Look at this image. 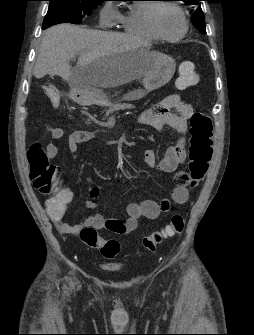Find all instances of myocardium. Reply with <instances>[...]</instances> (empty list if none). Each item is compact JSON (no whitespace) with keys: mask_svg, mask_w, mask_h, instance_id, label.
Masks as SVG:
<instances>
[{"mask_svg":"<svg viewBox=\"0 0 254 335\" xmlns=\"http://www.w3.org/2000/svg\"><path fill=\"white\" fill-rule=\"evenodd\" d=\"M166 6L171 7L174 10H176L179 13V15H180V17L183 21L182 31L175 36H167V35L163 34L158 27V23H157L158 11H159L160 8L166 7ZM147 23H148V26H149L150 30L152 31V33L158 39L166 40V41L180 40L187 34V32L189 30V21L186 17L185 12L183 11V9L179 5H177L176 3H173V2H158L156 4H152L150 6L149 10H148V13H147Z\"/></svg>","mask_w":254,"mask_h":335,"instance_id":"myocardium-1","label":"myocardium"}]
</instances>
